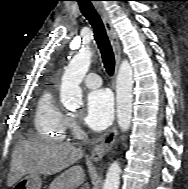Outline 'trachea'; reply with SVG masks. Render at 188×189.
Returning <instances> with one entry per match:
<instances>
[{
	"label": "trachea",
	"mask_w": 188,
	"mask_h": 189,
	"mask_svg": "<svg viewBox=\"0 0 188 189\" xmlns=\"http://www.w3.org/2000/svg\"><path fill=\"white\" fill-rule=\"evenodd\" d=\"M77 2L82 14L92 25L94 37L100 50L104 67L107 73L112 76L115 69V58L103 22L94 9L91 0H77Z\"/></svg>",
	"instance_id": "trachea-1"
}]
</instances>
